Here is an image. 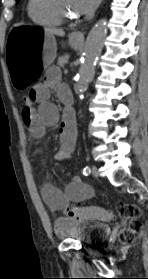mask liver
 Wrapping results in <instances>:
<instances>
[{
	"label": "liver",
	"mask_w": 148,
	"mask_h": 279,
	"mask_svg": "<svg viewBox=\"0 0 148 279\" xmlns=\"http://www.w3.org/2000/svg\"><path fill=\"white\" fill-rule=\"evenodd\" d=\"M46 33L51 34V35H57V36H64L65 32L62 29H57V28H45L44 29Z\"/></svg>",
	"instance_id": "obj_1"
}]
</instances>
